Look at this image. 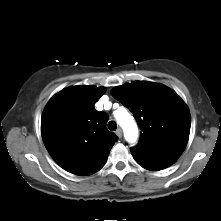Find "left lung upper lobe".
Here are the masks:
<instances>
[{
	"label": "left lung upper lobe",
	"mask_w": 221,
	"mask_h": 221,
	"mask_svg": "<svg viewBox=\"0 0 221 221\" xmlns=\"http://www.w3.org/2000/svg\"><path fill=\"white\" fill-rule=\"evenodd\" d=\"M111 94L127 107L142 130L133 156L149 160H176L184 151L190 133V112L170 88L148 81L114 87Z\"/></svg>",
	"instance_id": "left-lung-upper-lobe-1"
}]
</instances>
